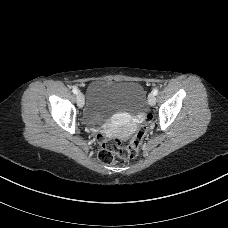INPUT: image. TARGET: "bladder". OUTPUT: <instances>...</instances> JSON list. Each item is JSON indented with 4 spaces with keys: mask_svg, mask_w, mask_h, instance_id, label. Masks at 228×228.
<instances>
[{
    "mask_svg": "<svg viewBox=\"0 0 228 228\" xmlns=\"http://www.w3.org/2000/svg\"><path fill=\"white\" fill-rule=\"evenodd\" d=\"M145 102L146 92L138 82L97 80L87 88L85 119L96 125L120 112L137 115L144 110Z\"/></svg>",
    "mask_w": 228,
    "mask_h": 228,
    "instance_id": "31cf9c89",
    "label": "bladder"
}]
</instances>
